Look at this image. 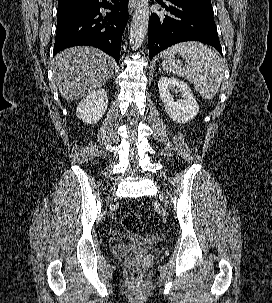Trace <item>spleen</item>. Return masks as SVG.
I'll use <instances>...</instances> for the list:
<instances>
[{
    "label": "spleen",
    "mask_w": 272,
    "mask_h": 303,
    "mask_svg": "<svg viewBox=\"0 0 272 303\" xmlns=\"http://www.w3.org/2000/svg\"><path fill=\"white\" fill-rule=\"evenodd\" d=\"M179 53L187 65L174 60ZM163 70L190 81L203 99L211 100L218 92L224 75L221 57L208 46L195 42H183L164 51Z\"/></svg>",
    "instance_id": "obj_1"
}]
</instances>
